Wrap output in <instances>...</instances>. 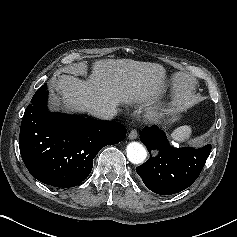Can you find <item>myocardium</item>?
<instances>
[{
	"instance_id": "myocardium-1",
	"label": "myocardium",
	"mask_w": 237,
	"mask_h": 237,
	"mask_svg": "<svg viewBox=\"0 0 237 237\" xmlns=\"http://www.w3.org/2000/svg\"><path fill=\"white\" fill-rule=\"evenodd\" d=\"M148 117L152 120H160L162 118V112L160 111H151L148 113Z\"/></svg>"
}]
</instances>
